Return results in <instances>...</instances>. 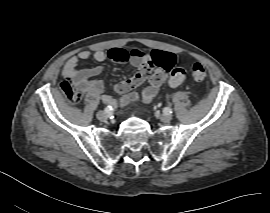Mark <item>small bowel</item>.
I'll return each mask as SVG.
<instances>
[{"label":"small bowel","mask_w":270,"mask_h":213,"mask_svg":"<svg viewBox=\"0 0 270 213\" xmlns=\"http://www.w3.org/2000/svg\"><path fill=\"white\" fill-rule=\"evenodd\" d=\"M115 49L119 48H112L108 51L104 50H96L93 53V58L98 62H103L106 59H112L111 52ZM163 52V51H159ZM169 53L173 57V66L176 63V56L170 52ZM91 57V53L87 50L81 51L78 56H72L70 57L63 68V73L65 77L68 79L67 84L69 87L74 91L76 95H78L81 99L84 96L93 94V93H99L103 89V84L100 80H92L91 78L95 75H97L100 71V67H94L84 70H78V62L86 61ZM128 63L136 68H141L145 65H149L148 57L146 54L137 55V56H131L129 58ZM146 79L141 77L139 72H137L132 77L128 78L127 80L120 82L116 85V90L124 94L126 92H129L133 89H135L137 86H139L144 80ZM149 83L147 86H145L142 90V98L145 102L150 101L158 92L159 88L163 84L165 80V74L159 70H154L151 72V74L148 77ZM138 98V94L134 93L130 95L129 97H124L120 103L123 105L128 104L131 101H134ZM102 101L105 104L117 106L119 101L115 99L114 97L110 95H103Z\"/></svg>","instance_id":"c3829d8e"}]
</instances>
